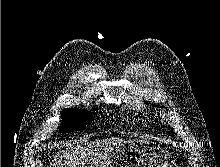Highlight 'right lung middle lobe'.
<instances>
[{"label":"right lung middle lobe","instance_id":"1","mask_svg":"<svg viewBox=\"0 0 220 167\" xmlns=\"http://www.w3.org/2000/svg\"><path fill=\"white\" fill-rule=\"evenodd\" d=\"M61 116L63 122L61 123L60 131L65 133L83 129L92 120V116L85 109L67 108L63 110Z\"/></svg>","mask_w":220,"mask_h":167}]
</instances>
